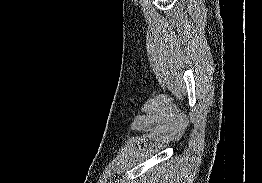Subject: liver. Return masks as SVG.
Instances as JSON below:
<instances>
[{"label": "liver", "instance_id": "1", "mask_svg": "<svg viewBox=\"0 0 262 183\" xmlns=\"http://www.w3.org/2000/svg\"><path fill=\"white\" fill-rule=\"evenodd\" d=\"M173 179H174V181H175V179H176L175 173H174V174L172 173V180H171V181H173ZM171 183H173V182H171Z\"/></svg>", "mask_w": 262, "mask_h": 183}]
</instances>
